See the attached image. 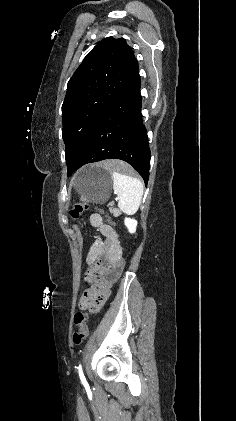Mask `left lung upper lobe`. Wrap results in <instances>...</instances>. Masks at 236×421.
Masks as SVG:
<instances>
[{
	"mask_svg": "<svg viewBox=\"0 0 236 421\" xmlns=\"http://www.w3.org/2000/svg\"><path fill=\"white\" fill-rule=\"evenodd\" d=\"M137 60L124 39L107 37L84 58L62 105L66 164L74 165L98 120L121 93Z\"/></svg>",
	"mask_w": 236,
	"mask_h": 421,
	"instance_id": "obj_1",
	"label": "left lung upper lobe"
}]
</instances>
